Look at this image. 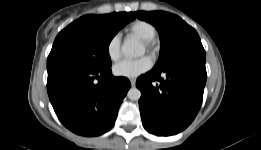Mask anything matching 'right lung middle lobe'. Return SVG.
Returning <instances> with one entry per match:
<instances>
[{
    "mask_svg": "<svg viewBox=\"0 0 261 150\" xmlns=\"http://www.w3.org/2000/svg\"><path fill=\"white\" fill-rule=\"evenodd\" d=\"M133 19L129 13L79 18L57 35L47 59V70L69 67L100 71L110 68V41Z\"/></svg>",
    "mask_w": 261,
    "mask_h": 150,
    "instance_id": "1",
    "label": "right lung middle lobe"
}]
</instances>
